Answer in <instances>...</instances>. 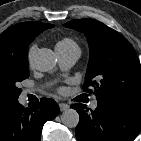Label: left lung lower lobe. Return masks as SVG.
Segmentation results:
<instances>
[{
	"label": "left lung lower lobe",
	"instance_id": "0a47b994",
	"mask_svg": "<svg viewBox=\"0 0 141 141\" xmlns=\"http://www.w3.org/2000/svg\"><path fill=\"white\" fill-rule=\"evenodd\" d=\"M71 108L79 113L75 130L78 141H133L141 130V106L98 101L91 112L82 103Z\"/></svg>",
	"mask_w": 141,
	"mask_h": 141
}]
</instances>
